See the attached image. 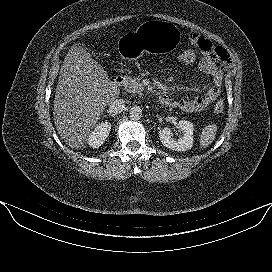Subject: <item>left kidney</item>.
Here are the masks:
<instances>
[{
	"mask_svg": "<svg viewBox=\"0 0 272 272\" xmlns=\"http://www.w3.org/2000/svg\"><path fill=\"white\" fill-rule=\"evenodd\" d=\"M178 128L181 129L183 136L178 140L172 138V132L165 127L159 131V137L162 144L172 150L185 152L193 146V124L186 120H181L178 123Z\"/></svg>",
	"mask_w": 272,
	"mask_h": 272,
	"instance_id": "obj_1",
	"label": "left kidney"
}]
</instances>
